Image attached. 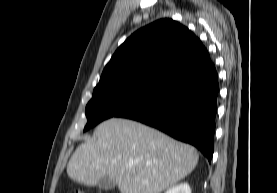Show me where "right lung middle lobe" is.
<instances>
[{
    "instance_id": "obj_1",
    "label": "right lung middle lobe",
    "mask_w": 277,
    "mask_h": 193,
    "mask_svg": "<svg viewBox=\"0 0 277 193\" xmlns=\"http://www.w3.org/2000/svg\"><path fill=\"white\" fill-rule=\"evenodd\" d=\"M156 89L123 86L94 90L92 99L86 106L87 124L84 131L103 120L117 117L151 95Z\"/></svg>"
}]
</instances>
